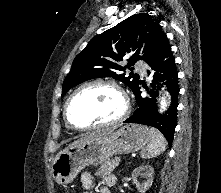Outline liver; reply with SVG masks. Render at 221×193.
Here are the masks:
<instances>
[{
    "label": "liver",
    "instance_id": "liver-1",
    "mask_svg": "<svg viewBox=\"0 0 221 193\" xmlns=\"http://www.w3.org/2000/svg\"><path fill=\"white\" fill-rule=\"evenodd\" d=\"M108 132H110V131L109 130H98V131L91 132L88 135L82 137L80 140L74 141L72 144L69 145V147L77 145L79 143H82L85 140L92 139V138H95L97 136L104 135Z\"/></svg>",
    "mask_w": 221,
    "mask_h": 193
}]
</instances>
